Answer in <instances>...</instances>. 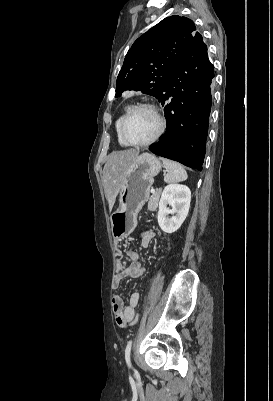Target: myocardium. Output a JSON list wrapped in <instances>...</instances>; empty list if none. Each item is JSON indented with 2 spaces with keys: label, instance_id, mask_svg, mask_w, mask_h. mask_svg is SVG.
I'll return each instance as SVG.
<instances>
[{
  "label": "myocardium",
  "instance_id": "1",
  "mask_svg": "<svg viewBox=\"0 0 273 401\" xmlns=\"http://www.w3.org/2000/svg\"><path fill=\"white\" fill-rule=\"evenodd\" d=\"M140 110H147V111L153 113L159 121V129L152 138H150L146 141H143V142H133V141L128 140L125 137L124 129H125V126H126L128 120L130 119V117ZM166 127H167V124H166L165 118L154 105L141 103V104H138V105L132 107L128 111V113L124 116V118L122 119V121L120 123L119 133H120V137H121L122 141L125 144H127L128 146L145 147V146H148V145L153 144L154 142L158 141L164 135V133L166 131Z\"/></svg>",
  "mask_w": 273,
  "mask_h": 401
}]
</instances>
